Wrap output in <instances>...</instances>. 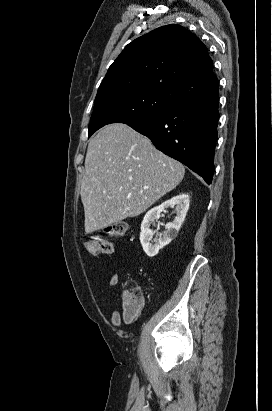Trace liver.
Segmentation results:
<instances>
[{"mask_svg":"<svg viewBox=\"0 0 272 411\" xmlns=\"http://www.w3.org/2000/svg\"><path fill=\"white\" fill-rule=\"evenodd\" d=\"M184 166L122 123L102 128L88 144L81 200L87 234L136 217L183 179Z\"/></svg>","mask_w":272,"mask_h":411,"instance_id":"6515ba94","label":"liver"}]
</instances>
